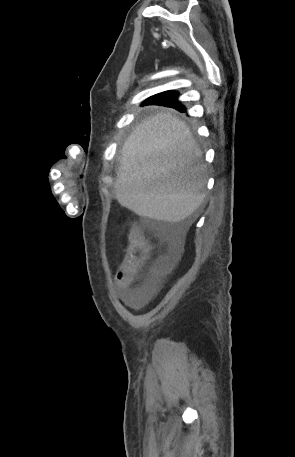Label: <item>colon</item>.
Masks as SVG:
<instances>
[{"label":"colon","mask_w":295,"mask_h":457,"mask_svg":"<svg viewBox=\"0 0 295 457\" xmlns=\"http://www.w3.org/2000/svg\"><path fill=\"white\" fill-rule=\"evenodd\" d=\"M149 254V244L138 228L132 229L129 235L127 254L119 273L133 277L143 266Z\"/></svg>","instance_id":"obj_1"}]
</instances>
